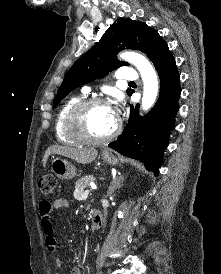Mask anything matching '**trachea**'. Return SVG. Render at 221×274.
Segmentation results:
<instances>
[{
	"label": "trachea",
	"instance_id": "trachea-1",
	"mask_svg": "<svg viewBox=\"0 0 221 274\" xmlns=\"http://www.w3.org/2000/svg\"><path fill=\"white\" fill-rule=\"evenodd\" d=\"M130 84H133L134 82L132 81V82H129Z\"/></svg>",
	"mask_w": 221,
	"mask_h": 274
}]
</instances>
